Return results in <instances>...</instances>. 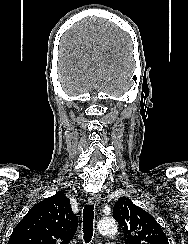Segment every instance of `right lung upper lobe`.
<instances>
[{
	"label": "right lung upper lobe",
	"mask_w": 188,
	"mask_h": 244,
	"mask_svg": "<svg viewBox=\"0 0 188 244\" xmlns=\"http://www.w3.org/2000/svg\"><path fill=\"white\" fill-rule=\"evenodd\" d=\"M77 226L70 199L57 192L29 210L14 228L8 244H68Z\"/></svg>",
	"instance_id": "obj_1"
}]
</instances>
